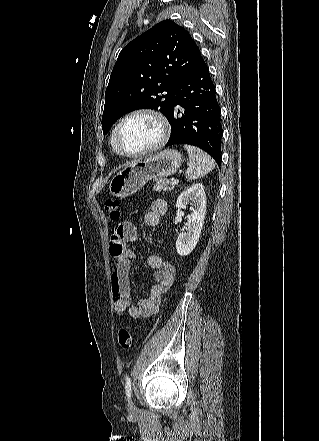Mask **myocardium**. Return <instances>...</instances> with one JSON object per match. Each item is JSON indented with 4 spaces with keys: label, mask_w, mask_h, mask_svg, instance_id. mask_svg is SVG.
I'll return each instance as SVG.
<instances>
[{
    "label": "myocardium",
    "mask_w": 319,
    "mask_h": 441,
    "mask_svg": "<svg viewBox=\"0 0 319 441\" xmlns=\"http://www.w3.org/2000/svg\"><path fill=\"white\" fill-rule=\"evenodd\" d=\"M136 116H147V117H150L151 119H153L158 124L159 137L155 143L148 146L147 148H145L141 151H138V152L131 153V152L125 151L121 147L120 141H119V133H120V130H121V127L123 126V124L127 120H129L133 117H136ZM169 135H170L169 121L161 112H159L158 110L152 109V108H138V109H135V110L128 112L126 115H124L119 120V122L115 126V129L113 132V140H114V146L120 155L125 156V157H129V158H137V157L146 156L148 154H151V153L159 150L167 142Z\"/></svg>",
    "instance_id": "1"
}]
</instances>
